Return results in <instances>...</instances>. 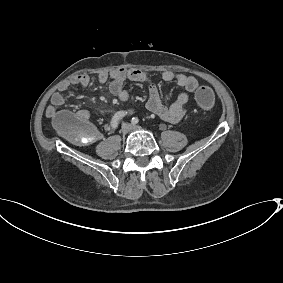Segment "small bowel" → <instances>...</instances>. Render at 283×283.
Returning <instances> with one entry per match:
<instances>
[{
	"instance_id": "1",
	"label": "small bowel",
	"mask_w": 283,
	"mask_h": 283,
	"mask_svg": "<svg viewBox=\"0 0 283 283\" xmlns=\"http://www.w3.org/2000/svg\"><path fill=\"white\" fill-rule=\"evenodd\" d=\"M97 78L102 84L110 79V92L122 101L127 100L129 97L128 91L124 88V83L126 81L149 84V97L146 103V108L161 119L170 123H178L183 119L187 111L189 95L198 90V81L195 77L173 71H165L160 75L161 80L165 82H175L184 90L172 104L166 105L158 85L152 81L149 75L139 69L121 68L114 70L111 73H100ZM90 82V77L86 74L76 75L62 82L59 85L58 91L51 97L50 105L46 109V116L50 119H55L58 113V108L65 103L64 93L71 86L87 87L90 85ZM127 112L128 114H131L132 110H128ZM77 115L83 119L89 118V112L87 110H80L77 112Z\"/></svg>"
}]
</instances>
